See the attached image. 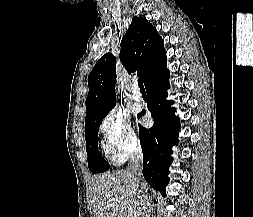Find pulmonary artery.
Here are the masks:
<instances>
[{
  "label": "pulmonary artery",
  "mask_w": 253,
  "mask_h": 217,
  "mask_svg": "<svg viewBox=\"0 0 253 217\" xmlns=\"http://www.w3.org/2000/svg\"><path fill=\"white\" fill-rule=\"evenodd\" d=\"M133 98L135 101H141L143 99L142 93L138 90L137 84H133Z\"/></svg>",
  "instance_id": "pulmonary-artery-1"
}]
</instances>
